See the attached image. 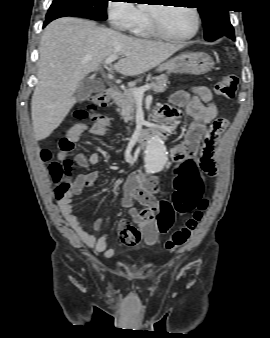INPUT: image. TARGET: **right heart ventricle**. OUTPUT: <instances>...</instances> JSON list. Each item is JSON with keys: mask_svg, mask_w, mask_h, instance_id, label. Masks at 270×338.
<instances>
[{"mask_svg": "<svg viewBox=\"0 0 270 338\" xmlns=\"http://www.w3.org/2000/svg\"><path fill=\"white\" fill-rule=\"evenodd\" d=\"M140 12L142 14V21L132 25L128 30L133 34L141 37H152L153 32L151 31V28L149 26L148 11L142 10Z\"/></svg>", "mask_w": 270, "mask_h": 338, "instance_id": "obj_1", "label": "right heart ventricle"}]
</instances>
